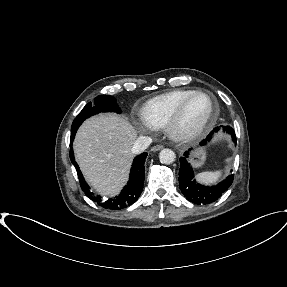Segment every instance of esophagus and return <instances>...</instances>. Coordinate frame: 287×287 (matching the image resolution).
I'll list each match as a JSON object with an SVG mask.
<instances>
[{"mask_svg":"<svg viewBox=\"0 0 287 287\" xmlns=\"http://www.w3.org/2000/svg\"><path fill=\"white\" fill-rule=\"evenodd\" d=\"M163 149V145H155L151 148V151L156 152Z\"/></svg>","mask_w":287,"mask_h":287,"instance_id":"obj_1","label":"esophagus"}]
</instances>
